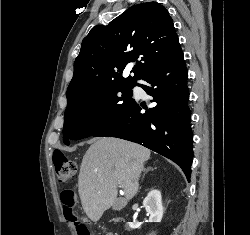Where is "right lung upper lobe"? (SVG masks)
<instances>
[{
  "label": "right lung upper lobe",
  "instance_id": "obj_1",
  "mask_svg": "<svg viewBox=\"0 0 250 235\" xmlns=\"http://www.w3.org/2000/svg\"><path fill=\"white\" fill-rule=\"evenodd\" d=\"M178 37L167 9L157 2L134 5L108 25H97L83 39L67 89L68 103L110 87H133L170 54ZM135 62L134 76L123 78Z\"/></svg>",
  "mask_w": 250,
  "mask_h": 235
}]
</instances>
